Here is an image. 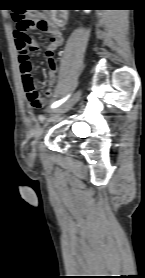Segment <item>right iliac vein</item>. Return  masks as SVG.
Masks as SVG:
<instances>
[{
  "label": "right iliac vein",
  "instance_id": "right-iliac-vein-1",
  "mask_svg": "<svg viewBox=\"0 0 145 278\" xmlns=\"http://www.w3.org/2000/svg\"><path fill=\"white\" fill-rule=\"evenodd\" d=\"M80 97V93H77V95L71 99L69 102H67L66 104L54 109L51 112V118H55L57 115L66 112L67 110H69L78 100Z\"/></svg>",
  "mask_w": 145,
  "mask_h": 278
}]
</instances>
